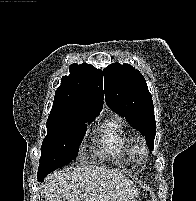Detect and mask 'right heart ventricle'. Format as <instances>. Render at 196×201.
<instances>
[{
    "label": "right heart ventricle",
    "instance_id": "right-heart-ventricle-1",
    "mask_svg": "<svg viewBox=\"0 0 196 201\" xmlns=\"http://www.w3.org/2000/svg\"><path fill=\"white\" fill-rule=\"evenodd\" d=\"M102 152L104 154L123 158L133 153L134 144L124 133L120 120H112L102 126Z\"/></svg>",
    "mask_w": 196,
    "mask_h": 201
}]
</instances>
